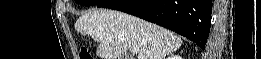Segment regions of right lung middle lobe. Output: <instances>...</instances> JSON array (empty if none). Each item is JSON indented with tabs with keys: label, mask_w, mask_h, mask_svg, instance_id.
Returning <instances> with one entry per match:
<instances>
[{
	"label": "right lung middle lobe",
	"mask_w": 261,
	"mask_h": 59,
	"mask_svg": "<svg viewBox=\"0 0 261 59\" xmlns=\"http://www.w3.org/2000/svg\"><path fill=\"white\" fill-rule=\"evenodd\" d=\"M101 1L102 0H77L76 3L82 6H91V5H97Z\"/></svg>",
	"instance_id": "dd1d6c3e"
}]
</instances>
